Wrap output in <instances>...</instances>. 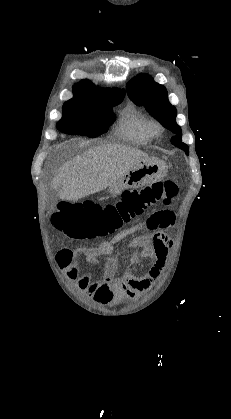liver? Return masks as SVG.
Segmentation results:
<instances>
[{
    "instance_id": "liver-1",
    "label": "liver",
    "mask_w": 231,
    "mask_h": 419,
    "mask_svg": "<svg viewBox=\"0 0 231 419\" xmlns=\"http://www.w3.org/2000/svg\"><path fill=\"white\" fill-rule=\"evenodd\" d=\"M148 157L137 148L101 144L64 164L52 180L61 200L76 202L112 186L134 164Z\"/></svg>"
}]
</instances>
